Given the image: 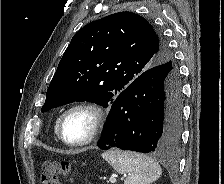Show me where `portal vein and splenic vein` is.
<instances>
[{
    "mask_svg": "<svg viewBox=\"0 0 224 184\" xmlns=\"http://www.w3.org/2000/svg\"><path fill=\"white\" fill-rule=\"evenodd\" d=\"M110 182L111 183H115L116 182V178L115 177H110Z\"/></svg>",
    "mask_w": 224,
    "mask_h": 184,
    "instance_id": "18ae733b",
    "label": "portal vein and splenic vein"
}]
</instances>
